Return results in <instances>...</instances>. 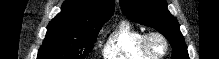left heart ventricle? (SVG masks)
Instances as JSON below:
<instances>
[{
    "label": "left heart ventricle",
    "mask_w": 219,
    "mask_h": 59,
    "mask_svg": "<svg viewBox=\"0 0 219 59\" xmlns=\"http://www.w3.org/2000/svg\"><path fill=\"white\" fill-rule=\"evenodd\" d=\"M150 46H151L153 52H154V53H157V54L162 53L163 50H164V45H163V43H162L160 40H158V39H153V40L150 42Z\"/></svg>",
    "instance_id": "b2bd125f"
}]
</instances>
